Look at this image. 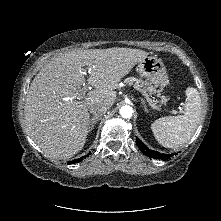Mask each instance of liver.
Returning <instances> with one entry per match:
<instances>
[{"instance_id":"liver-1","label":"liver","mask_w":221,"mask_h":221,"mask_svg":"<svg viewBox=\"0 0 221 221\" xmlns=\"http://www.w3.org/2000/svg\"><path fill=\"white\" fill-rule=\"evenodd\" d=\"M147 55L140 49L114 47L73 50L56 57L29 88L24 107L27 133L49 157H73L86 142L89 107L102 103L110 108L118 82ZM84 66L90 70L87 82L94 87L86 97L81 95Z\"/></svg>"}]
</instances>
